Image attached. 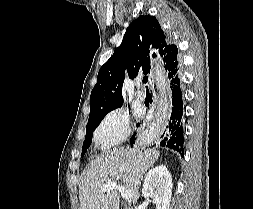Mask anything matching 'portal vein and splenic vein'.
<instances>
[{"label": "portal vein and splenic vein", "instance_id": "portal-vein-and-splenic-vein-1", "mask_svg": "<svg viewBox=\"0 0 253 209\" xmlns=\"http://www.w3.org/2000/svg\"><path fill=\"white\" fill-rule=\"evenodd\" d=\"M111 190H118L125 200H130L132 198V191L127 190L123 185L116 182H108L101 189L102 192H109Z\"/></svg>", "mask_w": 253, "mask_h": 209}]
</instances>
